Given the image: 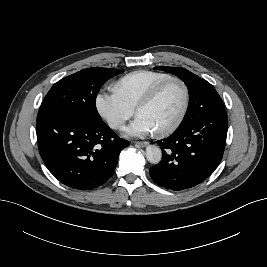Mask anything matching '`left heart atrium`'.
I'll return each instance as SVG.
<instances>
[{"label":"left heart atrium","instance_id":"39dd6f15","mask_svg":"<svg viewBox=\"0 0 267 267\" xmlns=\"http://www.w3.org/2000/svg\"><path fill=\"white\" fill-rule=\"evenodd\" d=\"M152 122L144 115H137L136 119L126 128L128 136L144 137L155 132Z\"/></svg>","mask_w":267,"mask_h":267}]
</instances>
